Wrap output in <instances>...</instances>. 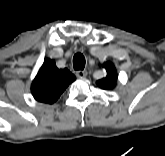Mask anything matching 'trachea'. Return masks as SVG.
I'll return each instance as SVG.
<instances>
[{"mask_svg": "<svg viewBox=\"0 0 165 156\" xmlns=\"http://www.w3.org/2000/svg\"><path fill=\"white\" fill-rule=\"evenodd\" d=\"M73 67L75 70H83L85 67V58L81 53H77L73 57Z\"/></svg>", "mask_w": 165, "mask_h": 156, "instance_id": "obj_1", "label": "trachea"}]
</instances>
